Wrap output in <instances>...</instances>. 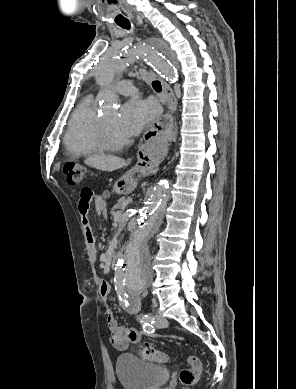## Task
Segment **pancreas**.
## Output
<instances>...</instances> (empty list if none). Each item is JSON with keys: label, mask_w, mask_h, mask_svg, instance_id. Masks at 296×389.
Listing matches in <instances>:
<instances>
[{"label": "pancreas", "mask_w": 296, "mask_h": 389, "mask_svg": "<svg viewBox=\"0 0 296 389\" xmlns=\"http://www.w3.org/2000/svg\"><path fill=\"white\" fill-rule=\"evenodd\" d=\"M125 203V199L124 198H121L116 204L115 206L112 208L111 210V214L112 216H115L117 213H120L121 211L119 209H122L123 208V205Z\"/></svg>", "instance_id": "cf45deb5"}]
</instances>
